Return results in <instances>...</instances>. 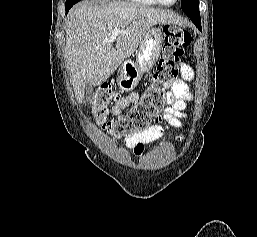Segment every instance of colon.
<instances>
[{"instance_id":"1","label":"colon","mask_w":257,"mask_h":237,"mask_svg":"<svg viewBox=\"0 0 257 237\" xmlns=\"http://www.w3.org/2000/svg\"><path fill=\"white\" fill-rule=\"evenodd\" d=\"M191 43V34L184 29L168 26L164 30L163 57L138 104L115 120L109 119V105L115 100L110 83L102 84L92 101V115L96 123L115 138L132 136L148 128L151 119L164 106L165 93L179 73V63Z\"/></svg>"}]
</instances>
